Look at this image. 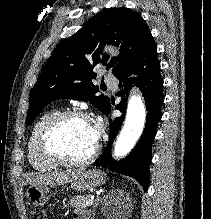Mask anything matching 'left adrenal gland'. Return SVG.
<instances>
[{"label":"left adrenal gland","instance_id":"1","mask_svg":"<svg viewBox=\"0 0 211 219\" xmlns=\"http://www.w3.org/2000/svg\"><path fill=\"white\" fill-rule=\"evenodd\" d=\"M99 200H100V198L98 197L97 199H96V202L94 203V205H93V211H92V219H94L95 218V210H96V208H97V206L99 205Z\"/></svg>","mask_w":211,"mask_h":219}]
</instances>
